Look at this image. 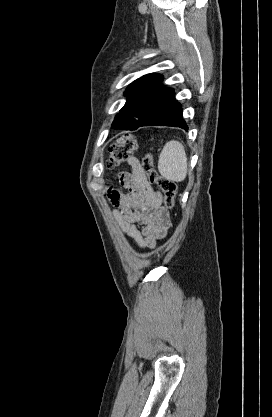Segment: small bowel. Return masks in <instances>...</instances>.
I'll return each mask as SVG.
<instances>
[{
    "instance_id": "small-bowel-1",
    "label": "small bowel",
    "mask_w": 272,
    "mask_h": 417,
    "mask_svg": "<svg viewBox=\"0 0 272 417\" xmlns=\"http://www.w3.org/2000/svg\"><path fill=\"white\" fill-rule=\"evenodd\" d=\"M131 171L119 176L126 194L109 190L108 196L117 208L114 215L122 232L138 248L152 249L166 236L170 226L169 211L162 205V197L146 180L139 160L127 159Z\"/></svg>"
}]
</instances>
